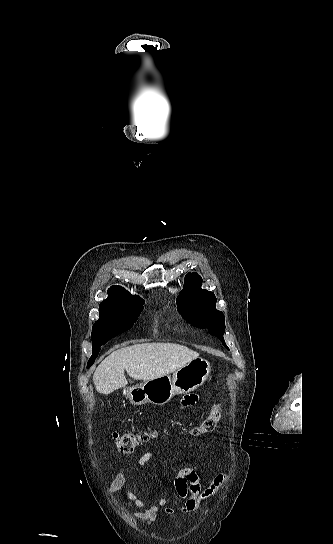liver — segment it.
<instances>
[{"label": "liver", "instance_id": "1", "mask_svg": "<svg viewBox=\"0 0 333 544\" xmlns=\"http://www.w3.org/2000/svg\"><path fill=\"white\" fill-rule=\"evenodd\" d=\"M199 353L175 343H142L120 348L96 368L93 382L101 394H110L128 384L124 371L136 380H152L177 371Z\"/></svg>", "mask_w": 333, "mask_h": 544}]
</instances>
